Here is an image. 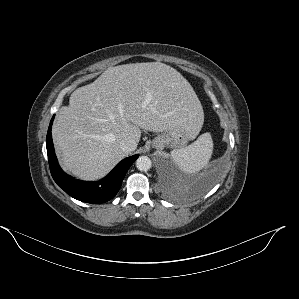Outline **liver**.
<instances>
[{
	"mask_svg": "<svg viewBox=\"0 0 299 299\" xmlns=\"http://www.w3.org/2000/svg\"><path fill=\"white\" fill-rule=\"evenodd\" d=\"M204 121L190 83L160 62L110 67L77 88L59 109L52 136L62 167L83 180L105 176L127 156L120 141L137 143L141 129L165 132L183 127L191 139Z\"/></svg>",
	"mask_w": 299,
	"mask_h": 299,
	"instance_id": "liver-1",
	"label": "liver"
}]
</instances>
